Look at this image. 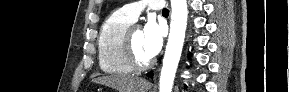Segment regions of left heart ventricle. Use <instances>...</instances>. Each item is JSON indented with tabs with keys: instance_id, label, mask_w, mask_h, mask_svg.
I'll list each match as a JSON object with an SVG mask.
<instances>
[{
	"instance_id": "1",
	"label": "left heart ventricle",
	"mask_w": 289,
	"mask_h": 92,
	"mask_svg": "<svg viewBox=\"0 0 289 92\" xmlns=\"http://www.w3.org/2000/svg\"><path fill=\"white\" fill-rule=\"evenodd\" d=\"M132 41L134 51L141 61H148L151 59L144 47L143 30L139 27L135 28L132 33Z\"/></svg>"
}]
</instances>
